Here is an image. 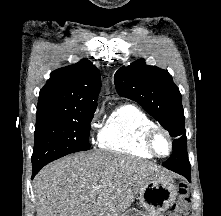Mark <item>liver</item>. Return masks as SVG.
Segmentation results:
<instances>
[{
    "label": "liver",
    "mask_w": 221,
    "mask_h": 216,
    "mask_svg": "<svg viewBox=\"0 0 221 216\" xmlns=\"http://www.w3.org/2000/svg\"><path fill=\"white\" fill-rule=\"evenodd\" d=\"M169 177L162 167L104 151L81 152L45 166L33 184L37 216H122L141 187Z\"/></svg>",
    "instance_id": "1"
}]
</instances>
